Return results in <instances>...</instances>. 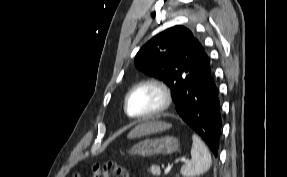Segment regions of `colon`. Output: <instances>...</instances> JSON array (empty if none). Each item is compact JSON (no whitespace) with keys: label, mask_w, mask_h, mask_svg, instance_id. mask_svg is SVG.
<instances>
[{"label":"colon","mask_w":287,"mask_h":177,"mask_svg":"<svg viewBox=\"0 0 287 177\" xmlns=\"http://www.w3.org/2000/svg\"><path fill=\"white\" fill-rule=\"evenodd\" d=\"M76 173L74 177H81ZM89 177H133L130 171L116 162L108 161L103 164H96L88 174Z\"/></svg>","instance_id":"colon-1"}]
</instances>
